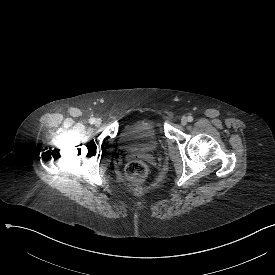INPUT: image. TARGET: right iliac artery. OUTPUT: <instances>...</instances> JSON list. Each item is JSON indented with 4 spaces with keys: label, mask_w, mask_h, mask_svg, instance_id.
Here are the masks:
<instances>
[{
    "label": "right iliac artery",
    "mask_w": 275,
    "mask_h": 275,
    "mask_svg": "<svg viewBox=\"0 0 275 275\" xmlns=\"http://www.w3.org/2000/svg\"><path fill=\"white\" fill-rule=\"evenodd\" d=\"M89 122H90V124H93V123L95 122V119H94V118H91V119L89 120Z\"/></svg>",
    "instance_id": "82829eb1"
}]
</instances>
